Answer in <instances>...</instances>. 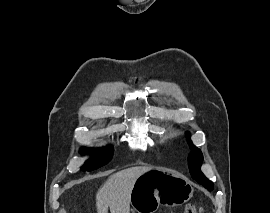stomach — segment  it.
I'll return each mask as SVG.
<instances>
[{
  "instance_id": "1",
  "label": "stomach",
  "mask_w": 270,
  "mask_h": 213,
  "mask_svg": "<svg viewBox=\"0 0 270 213\" xmlns=\"http://www.w3.org/2000/svg\"><path fill=\"white\" fill-rule=\"evenodd\" d=\"M191 182L165 168H152L139 176L131 190L130 203L137 213H155L159 206L176 207L193 195Z\"/></svg>"
}]
</instances>
